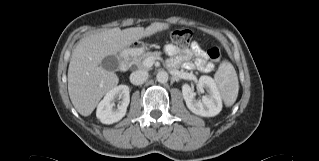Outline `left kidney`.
Wrapping results in <instances>:
<instances>
[{
  "label": "left kidney",
  "instance_id": "1",
  "mask_svg": "<svg viewBox=\"0 0 319 161\" xmlns=\"http://www.w3.org/2000/svg\"><path fill=\"white\" fill-rule=\"evenodd\" d=\"M198 86L200 89L207 88L208 95L196 100V94L188 84L182 86L183 98L188 109L196 115L203 117H213L219 114L222 109V99L214 80L209 76H201Z\"/></svg>",
  "mask_w": 319,
  "mask_h": 161
}]
</instances>
